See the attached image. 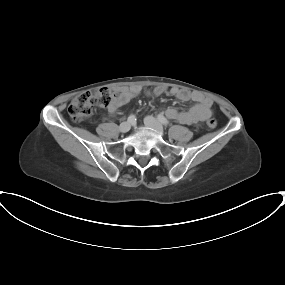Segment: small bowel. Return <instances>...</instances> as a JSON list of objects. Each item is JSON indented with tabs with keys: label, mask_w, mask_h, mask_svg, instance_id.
<instances>
[{
	"label": "small bowel",
	"mask_w": 285,
	"mask_h": 285,
	"mask_svg": "<svg viewBox=\"0 0 285 285\" xmlns=\"http://www.w3.org/2000/svg\"><path fill=\"white\" fill-rule=\"evenodd\" d=\"M116 92L117 96L108 106V111L111 114H115L121 106L139 96L142 92V87L140 85L119 87L116 89ZM153 94L156 96L168 94L182 102L189 100L195 102L194 105L185 110H178L175 108H166L163 110V113L167 118L175 120L181 124H198L212 116L211 99L198 91H189L180 88H171L168 90L163 86H158L153 90Z\"/></svg>",
	"instance_id": "small-bowel-1"
}]
</instances>
